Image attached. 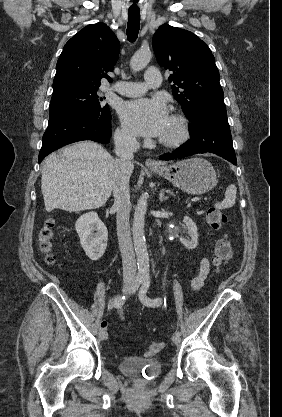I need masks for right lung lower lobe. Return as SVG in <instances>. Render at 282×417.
I'll return each mask as SVG.
<instances>
[{
  "label": "right lung lower lobe",
  "mask_w": 282,
  "mask_h": 417,
  "mask_svg": "<svg viewBox=\"0 0 282 417\" xmlns=\"http://www.w3.org/2000/svg\"><path fill=\"white\" fill-rule=\"evenodd\" d=\"M111 113L96 114L71 110L51 117L43 135L39 162L56 149L81 140L108 143L111 137Z\"/></svg>",
  "instance_id": "98d812e1"
}]
</instances>
